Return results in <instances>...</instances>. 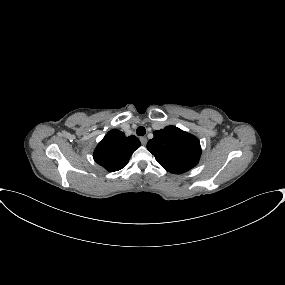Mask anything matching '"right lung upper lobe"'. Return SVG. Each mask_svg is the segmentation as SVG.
<instances>
[{
    "mask_svg": "<svg viewBox=\"0 0 285 285\" xmlns=\"http://www.w3.org/2000/svg\"><path fill=\"white\" fill-rule=\"evenodd\" d=\"M140 145L136 136L126 137L123 132L113 129L98 144L93 157L106 170L118 171L127 165L131 155Z\"/></svg>",
    "mask_w": 285,
    "mask_h": 285,
    "instance_id": "1",
    "label": "right lung upper lobe"
}]
</instances>
